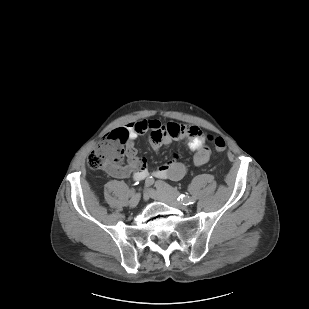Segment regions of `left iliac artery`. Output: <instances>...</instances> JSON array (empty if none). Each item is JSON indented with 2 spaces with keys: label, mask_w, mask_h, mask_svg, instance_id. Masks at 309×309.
<instances>
[{
  "label": "left iliac artery",
  "mask_w": 309,
  "mask_h": 309,
  "mask_svg": "<svg viewBox=\"0 0 309 309\" xmlns=\"http://www.w3.org/2000/svg\"><path fill=\"white\" fill-rule=\"evenodd\" d=\"M155 187L160 190L163 191L175 198H177V200L181 201L184 205H190L195 203V198L190 197L188 195H184V194H180L175 188H173L172 186H170L169 184L163 182V181H156L155 182Z\"/></svg>",
  "instance_id": "obj_1"
}]
</instances>
